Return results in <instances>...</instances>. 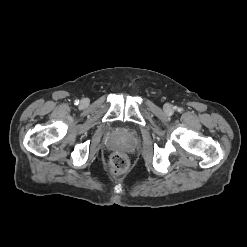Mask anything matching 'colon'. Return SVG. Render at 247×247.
<instances>
[{
	"mask_svg": "<svg viewBox=\"0 0 247 247\" xmlns=\"http://www.w3.org/2000/svg\"><path fill=\"white\" fill-rule=\"evenodd\" d=\"M128 165L126 157L119 152H115L111 155L108 162V169L112 174L118 175L123 173Z\"/></svg>",
	"mask_w": 247,
	"mask_h": 247,
	"instance_id": "1",
	"label": "colon"
}]
</instances>
